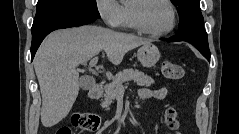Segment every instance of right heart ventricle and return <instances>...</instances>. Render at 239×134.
<instances>
[{"label":"right heart ventricle","instance_id":"e07e8e85","mask_svg":"<svg viewBox=\"0 0 239 134\" xmlns=\"http://www.w3.org/2000/svg\"><path fill=\"white\" fill-rule=\"evenodd\" d=\"M131 1H126L121 5L122 8V22L121 26L124 28H132V23L130 19L129 5Z\"/></svg>","mask_w":239,"mask_h":134}]
</instances>
